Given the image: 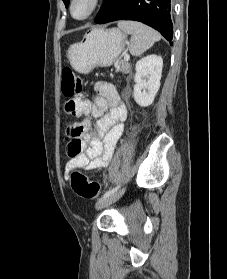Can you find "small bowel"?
I'll list each match as a JSON object with an SVG mask.
<instances>
[{"instance_id":"small-bowel-1","label":"small bowel","mask_w":227,"mask_h":279,"mask_svg":"<svg viewBox=\"0 0 227 279\" xmlns=\"http://www.w3.org/2000/svg\"><path fill=\"white\" fill-rule=\"evenodd\" d=\"M78 104L74 115L90 116L97 121L92 124L89 119H85L70 126L79 129L77 136H70V143H79L80 152L68 161L66 177L78 167L95 170L108 166L127 118V108L116 87L109 82L98 83L93 97L79 99Z\"/></svg>"}]
</instances>
